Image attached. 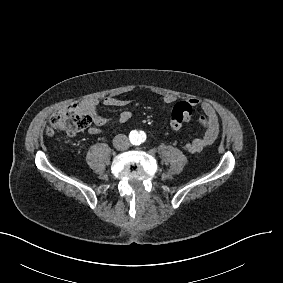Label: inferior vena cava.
Segmentation results:
<instances>
[{
    "instance_id": "602c4592",
    "label": "inferior vena cava",
    "mask_w": 283,
    "mask_h": 283,
    "mask_svg": "<svg viewBox=\"0 0 283 283\" xmlns=\"http://www.w3.org/2000/svg\"><path fill=\"white\" fill-rule=\"evenodd\" d=\"M129 141L126 135L118 134L113 139V146L118 151H125L129 148Z\"/></svg>"
}]
</instances>
